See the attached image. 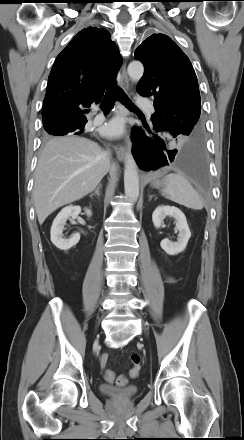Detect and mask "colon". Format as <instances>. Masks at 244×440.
I'll list each match as a JSON object with an SVG mask.
<instances>
[{
    "mask_svg": "<svg viewBox=\"0 0 244 440\" xmlns=\"http://www.w3.org/2000/svg\"><path fill=\"white\" fill-rule=\"evenodd\" d=\"M131 360L133 363V368L131 369V376L137 377L140 372V356L138 354H133L131 356ZM104 378L108 383H113L114 381L120 387H124L128 383V378L125 375H120L115 378V374L113 371L107 369L104 373Z\"/></svg>",
    "mask_w": 244,
    "mask_h": 440,
    "instance_id": "5ec220e1",
    "label": "colon"
}]
</instances>
